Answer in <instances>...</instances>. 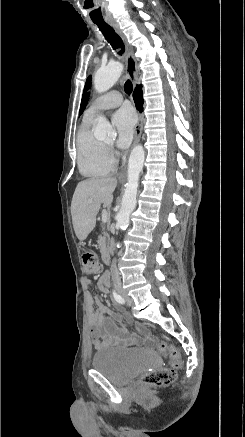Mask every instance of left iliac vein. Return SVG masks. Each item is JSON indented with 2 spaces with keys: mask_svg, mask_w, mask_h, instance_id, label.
<instances>
[{
  "mask_svg": "<svg viewBox=\"0 0 245 437\" xmlns=\"http://www.w3.org/2000/svg\"><path fill=\"white\" fill-rule=\"evenodd\" d=\"M121 294L126 301V305L130 307L132 305V302H133L132 299L123 291H121Z\"/></svg>",
  "mask_w": 245,
  "mask_h": 437,
  "instance_id": "obj_1",
  "label": "left iliac vein"
}]
</instances>
